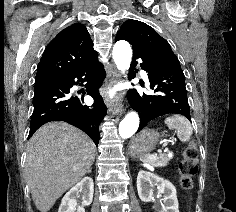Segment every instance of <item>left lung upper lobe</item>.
I'll list each match as a JSON object with an SVG mask.
<instances>
[{
    "mask_svg": "<svg viewBox=\"0 0 236 212\" xmlns=\"http://www.w3.org/2000/svg\"><path fill=\"white\" fill-rule=\"evenodd\" d=\"M116 40L128 41L135 54L175 56L169 43L153 28L141 21L127 20L124 22L116 35Z\"/></svg>",
    "mask_w": 236,
    "mask_h": 212,
    "instance_id": "obj_1",
    "label": "left lung upper lobe"
}]
</instances>
